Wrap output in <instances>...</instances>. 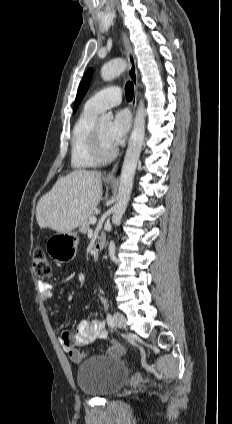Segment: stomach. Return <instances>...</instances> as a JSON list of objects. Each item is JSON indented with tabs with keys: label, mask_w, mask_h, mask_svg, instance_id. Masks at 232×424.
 Instances as JSON below:
<instances>
[{
	"label": "stomach",
	"mask_w": 232,
	"mask_h": 424,
	"mask_svg": "<svg viewBox=\"0 0 232 424\" xmlns=\"http://www.w3.org/2000/svg\"><path fill=\"white\" fill-rule=\"evenodd\" d=\"M106 183L111 181L106 180ZM78 246V236L76 232L56 233L46 242L45 248L48 255L58 262H68L76 254Z\"/></svg>",
	"instance_id": "obj_1"
}]
</instances>
